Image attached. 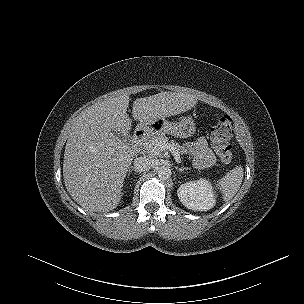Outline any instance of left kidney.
I'll return each mask as SVG.
<instances>
[{"label": "left kidney", "instance_id": "5707ae66", "mask_svg": "<svg viewBox=\"0 0 304 304\" xmlns=\"http://www.w3.org/2000/svg\"><path fill=\"white\" fill-rule=\"evenodd\" d=\"M181 203L188 209L207 211L214 207L216 194L211 182L205 178L182 184L177 190Z\"/></svg>", "mask_w": 304, "mask_h": 304}]
</instances>
